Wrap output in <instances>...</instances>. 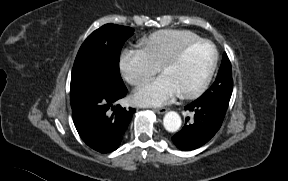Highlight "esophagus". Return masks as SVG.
Masks as SVG:
<instances>
[{"mask_svg": "<svg viewBox=\"0 0 288 181\" xmlns=\"http://www.w3.org/2000/svg\"><path fill=\"white\" fill-rule=\"evenodd\" d=\"M167 110H168L167 108H157L154 111L158 114H164L167 112Z\"/></svg>", "mask_w": 288, "mask_h": 181, "instance_id": "1", "label": "esophagus"}]
</instances>
